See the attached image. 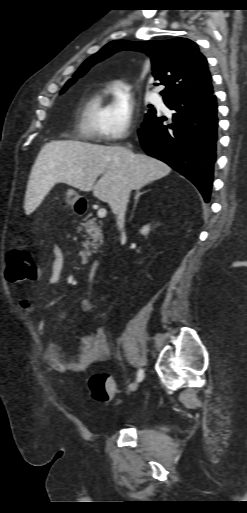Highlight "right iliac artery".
Wrapping results in <instances>:
<instances>
[{
	"instance_id": "obj_1",
	"label": "right iliac artery",
	"mask_w": 247,
	"mask_h": 513,
	"mask_svg": "<svg viewBox=\"0 0 247 513\" xmlns=\"http://www.w3.org/2000/svg\"><path fill=\"white\" fill-rule=\"evenodd\" d=\"M143 378H144V371L142 369H139L138 374H137V381L140 382L143 380Z\"/></svg>"
}]
</instances>
